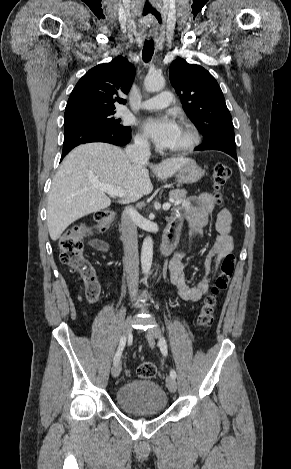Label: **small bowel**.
<instances>
[{
    "instance_id": "c3829d8e",
    "label": "small bowel",
    "mask_w": 291,
    "mask_h": 469,
    "mask_svg": "<svg viewBox=\"0 0 291 469\" xmlns=\"http://www.w3.org/2000/svg\"><path fill=\"white\" fill-rule=\"evenodd\" d=\"M214 209V200L211 194L202 193L187 200L180 210L172 215L169 225L176 228L179 233L186 225L188 227L187 241L183 247L170 260L168 268L172 284L176 287L179 296L186 301L197 302L209 290L210 275L213 272V264L216 265L233 251V239L230 235L232 216L228 210L219 212L216 220L217 235L214 244L204 262V273L196 285L188 284L185 275L184 259L192 247L195 238L203 234L209 222V217ZM99 249L103 247L100 241H95ZM86 287H96L100 291V285L95 276L85 280Z\"/></svg>"
}]
</instances>
